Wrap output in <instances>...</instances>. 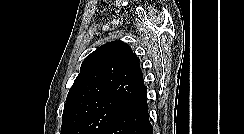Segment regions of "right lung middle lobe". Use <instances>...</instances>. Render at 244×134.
Instances as JSON below:
<instances>
[{"label": "right lung middle lobe", "mask_w": 244, "mask_h": 134, "mask_svg": "<svg viewBox=\"0 0 244 134\" xmlns=\"http://www.w3.org/2000/svg\"><path fill=\"white\" fill-rule=\"evenodd\" d=\"M131 102L107 97L80 103L62 118L61 134H103Z\"/></svg>", "instance_id": "dd1d6c3e"}]
</instances>
